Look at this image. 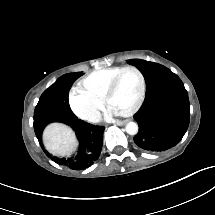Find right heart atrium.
<instances>
[{"mask_svg": "<svg viewBox=\"0 0 215 215\" xmlns=\"http://www.w3.org/2000/svg\"><path fill=\"white\" fill-rule=\"evenodd\" d=\"M69 104L73 112L82 120L96 122L101 110L100 102L88 92L72 88Z\"/></svg>", "mask_w": 215, "mask_h": 215, "instance_id": "1", "label": "right heart atrium"}]
</instances>
